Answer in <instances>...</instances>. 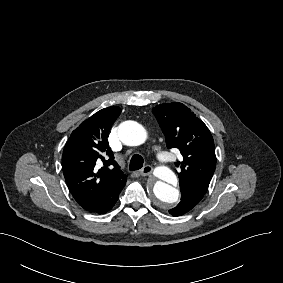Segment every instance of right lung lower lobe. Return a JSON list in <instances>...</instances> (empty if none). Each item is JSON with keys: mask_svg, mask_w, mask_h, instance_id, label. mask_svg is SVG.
<instances>
[{"mask_svg": "<svg viewBox=\"0 0 283 283\" xmlns=\"http://www.w3.org/2000/svg\"><path fill=\"white\" fill-rule=\"evenodd\" d=\"M124 186L119 188L111 197H109V199L106 201V203L102 204L100 207L92 209V210H90V209H85V210L90 212V213H94V214H104V213L108 212L109 210H111L113 208V206L117 202L118 196H119V194H120V192H121V190L123 189Z\"/></svg>", "mask_w": 283, "mask_h": 283, "instance_id": "98d812e1", "label": "right lung lower lobe"}]
</instances>
